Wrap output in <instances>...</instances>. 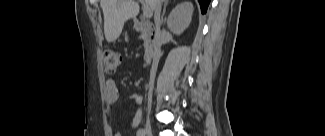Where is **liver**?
Returning a JSON list of instances; mask_svg holds the SVG:
<instances>
[{"mask_svg":"<svg viewBox=\"0 0 325 136\" xmlns=\"http://www.w3.org/2000/svg\"><path fill=\"white\" fill-rule=\"evenodd\" d=\"M156 0H143V3L153 11ZM104 14V34L107 42H114L120 36L124 23L139 13L136 0H101Z\"/></svg>","mask_w":325,"mask_h":136,"instance_id":"obj_1","label":"liver"}]
</instances>
